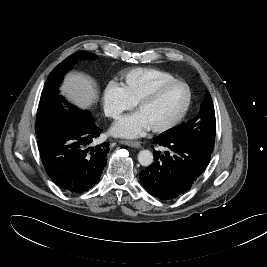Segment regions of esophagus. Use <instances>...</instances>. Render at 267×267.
Here are the masks:
<instances>
[{"instance_id": "34e87169", "label": "esophagus", "mask_w": 267, "mask_h": 267, "mask_svg": "<svg viewBox=\"0 0 267 267\" xmlns=\"http://www.w3.org/2000/svg\"><path fill=\"white\" fill-rule=\"evenodd\" d=\"M122 144L128 145L133 148H139L141 146V143L139 141H122Z\"/></svg>"}]
</instances>
